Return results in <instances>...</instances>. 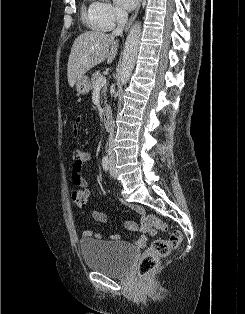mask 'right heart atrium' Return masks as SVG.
<instances>
[{"label":"right heart atrium","instance_id":"right-heart-atrium-1","mask_svg":"<svg viewBox=\"0 0 245 314\" xmlns=\"http://www.w3.org/2000/svg\"><path fill=\"white\" fill-rule=\"evenodd\" d=\"M93 15L95 28L100 31L114 29L125 17L124 13L116 6L101 1L93 3Z\"/></svg>","mask_w":245,"mask_h":314}]
</instances>
